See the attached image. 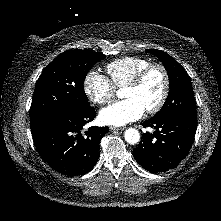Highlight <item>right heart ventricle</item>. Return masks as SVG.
<instances>
[{
	"instance_id": "1",
	"label": "right heart ventricle",
	"mask_w": 221,
	"mask_h": 221,
	"mask_svg": "<svg viewBox=\"0 0 221 221\" xmlns=\"http://www.w3.org/2000/svg\"><path fill=\"white\" fill-rule=\"evenodd\" d=\"M150 64L143 57L125 56L117 58L106 65V71L115 87H125L134 75Z\"/></svg>"
}]
</instances>
